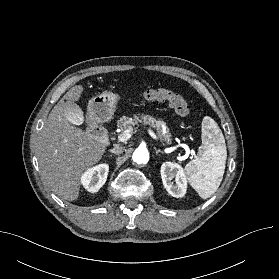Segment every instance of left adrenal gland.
Wrapping results in <instances>:
<instances>
[{"label":"left adrenal gland","instance_id":"obj_1","mask_svg":"<svg viewBox=\"0 0 279 279\" xmlns=\"http://www.w3.org/2000/svg\"><path fill=\"white\" fill-rule=\"evenodd\" d=\"M155 152H156V154H159V153H163V151L162 150H160V149H155Z\"/></svg>","mask_w":279,"mask_h":279}]
</instances>
